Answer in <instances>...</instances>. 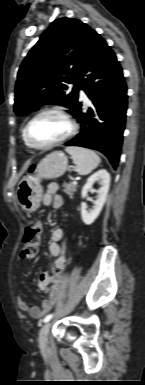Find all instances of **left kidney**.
Masks as SVG:
<instances>
[{
	"mask_svg": "<svg viewBox=\"0 0 145 385\" xmlns=\"http://www.w3.org/2000/svg\"><path fill=\"white\" fill-rule=\"evenodd\" d=\"M97 181H100L101 188L97 191L98 196L94 202V208L90 211H87L85 203H81V217L86 225L92 224L97 219L106 201L110 186V174L107 172V170L101 169L88 178L81 191L82 198L87 195L88 191L92 189L93 184Z\"/></svg>",
	"mask_w": 145,
	"mask_h": 385,
	"instance_id": "obj_1",
	"label": "left kidney"
}]
</instances>
